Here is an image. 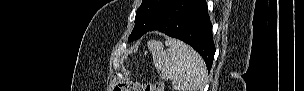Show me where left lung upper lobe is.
Here are the masks:
<instances>
[{"label": "left lung upper lobe", "instance_id": "obj_1", "mask_svg": "<svg viewBox=\"0 0 304 91\" xmlns=\"http://www.w3.org/2000/svg\"><path fill=\"white\" fill-rule=\"evenodd\" d=\"M172 0H143L135 17V26L128 40L140 38L161 17Z\"/></svg>", "mask_w": 304, "mask_h": 91}]
</instances>
